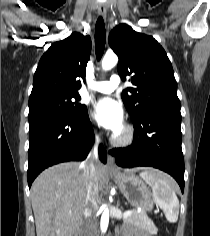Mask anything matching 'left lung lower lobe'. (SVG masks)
Returning <instances> with one entry per match:
<instances>
[{"instance_id": "left-lung-lower-lobe-1", "label": "left lung lower lobe", "mask_w": 210, "mask_h": 236, "mask_svg": "<svg viewBox=\"0 0 210 236\" xmlns=\"http://www.w3.org/2000/svg\"><path fill=\"white\" fill-rule=\"evenodd\" d=\"M133 121L134 140L126 148L110 151L121 167L150 166L173 176L184 191V159L181 148V114L154 109Z\"/></svg>"}]
</instances>
